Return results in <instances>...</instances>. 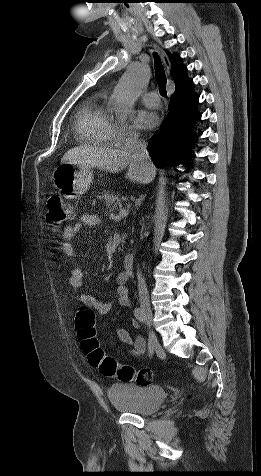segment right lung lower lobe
Masks as SVG:
<instances>
[{"instance_id": "right-lung-lower-lobe-1", "label": "right lung lower lobe", "mask_w": 261, "mask_h": 476, "mask_svg": "<svg viewBox=\"0 0 261 476\" xmlns=\"http://www.w3.org/2000/svg\"><path fill=\"white\" fill-rule=\"evenodd\" d=\"M192 87L193 82L188 78L176 87L170 99L169 113L149 143V153L157 166H164L168 161L183 163L189 158L190 147L195 145L197 134L194 129L200 115L196 111L199 97Z\"/></svg>"}]
</instances>
